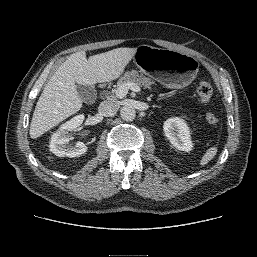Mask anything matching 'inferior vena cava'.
Segmentation results:
<instances>
[{
  "instance_id": "inferior-vena-cava-1",
  "label": "inferior vena cava",
  "mask_w": 257,
  "mask_h": 257,
  "mask_svg": "<svg viewBox=\"0 0 257 257\" xmlns=\"http://www.w3.org/2000/svg\"><path fill=\"white\" fill-rule=\"evenodd\" d=\"M119 106L115 101H103L98 107V111L102 116H112L114 115Z\"/></svg>"
}]
</instances>
